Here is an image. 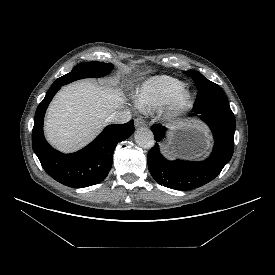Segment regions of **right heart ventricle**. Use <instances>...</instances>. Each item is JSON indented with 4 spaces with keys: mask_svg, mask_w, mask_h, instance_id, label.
<instances>
[{
    "mask_svg": "<svg viewBox=\"0 0 275 275\" xmlns=\"http://www.w3.org/2000/svg\"><path fill=\"white\" fill-rule=\"evenodd\" d=\"M184 83L170 76H156L146 81L135 95L137 106L144 111L155 110L165 105Z\"/></svg>",
    "mask_w": 275,
    "mask_h": 275,
    "instance_id": "obj_1",
    "label": "right heart ventricle"
}]
</instances>
